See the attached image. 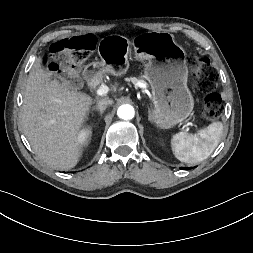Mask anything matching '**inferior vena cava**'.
I'll return each instance as SVG.
<instances>
[{"label": "inferior vena cava", "mask_w": 253, "mask_h": 253, "mask_svg": "<svg viewBox=\"0 0 253 253\" xmlns=\"http://www.w3.org/2000/svg\"><path fill=\"white\" fill-rule=\"evenodd\" d=\"M97 104H98L99 107H107V106L113 104V100H111L109 98H104V99L99 100L97 102Z\"/></svg>", "instance_id": "602c4592"}]
</instances>
